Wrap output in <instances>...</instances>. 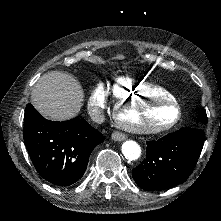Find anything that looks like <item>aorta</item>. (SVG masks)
<instances>
[{"label":"aorta","instance_id":"1","mask_svg":"<svg viewBox=\"0 0 221 221\" xmlns=\"http://www.w3.org/2000/svg\"><path fill=\"white\" fill-rule=\"evenodd\" d=\"M122 153L127 160H137L141 155V148L135 141L128 140L122 144Z\"/></svg>","mask_w":221,"mask_h":221}]
</instances>
